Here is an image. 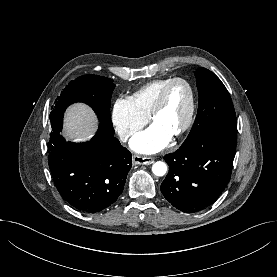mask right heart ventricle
I'll list each match as a JSON object with an SVG mask.
<instances>
[{"label": "right heart ventricle", "mask_w": 277, "mask_h": 277, "mask_svg": "<svg viewBox=\"0 0 277 277\" xmlns=\"http://www.w3.org/2000/svg\"><path fill=\"white\" fill-rule=\"evenodd\" d=\"M170 79H158L143 85L131 96L138 109L146 116L154 106V103L163 88Z\"/></svg>", "instance_id": "right-heart-ventricle-1"}]
</instances>
